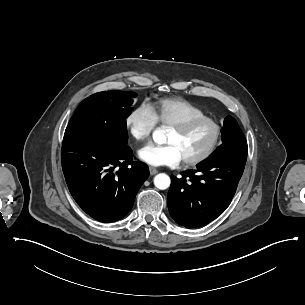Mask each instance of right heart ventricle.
Instances as JSON below:
<instances>
[{
	"instance_id": "1",
	"label": "right heart ventricle",
	"mask_w": 305,
	"mask_h": 305,
	"mask_svg": "<svg viewBox=\"0 0 305 305\" xmlns=\"http://www.w3.org/2000/svg\"><path fill=\"white\" fill-rule=\"evenodd\" d=\"M149 107L157 122L170 126L171 124L205 116L206 113L191 102L178 97H162L150 102Z\"/></svg>"
}]
</instances>
